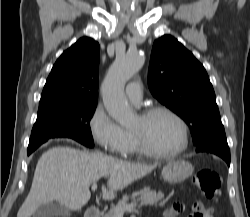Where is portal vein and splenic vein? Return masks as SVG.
Here are the masks:
<instances>
[{
	"label": "portal vein and splenic vein",
	"instance_id": "portal-vein-and-splenic-vein-1",
	"mask_svg": "<svg viewBox=\"0 0 250 217\" xmlns=\"http://www.w3.org/2000/svg\"><path fill=\"white\" fill-rule=\"evenodd\" d=\"M96 189H97V183L95 182L92 184V190H96ZM136 206H137L136 203H132V204H129L128 206H126L124 209L117 210L115 212L116 217H123V213L125 210L132 211L136 208Z\"/></svg>",
	"mask_w": 250,
	"mask_h": 217
}]
</instances>
